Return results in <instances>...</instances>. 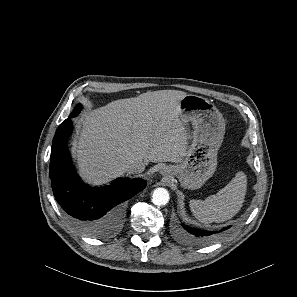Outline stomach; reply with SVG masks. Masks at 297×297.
Returning <instances> with one entry per match:
<instances>
[{
  "label": "stomach",
  "mask_w": 297,
  "mask_h": 297,
  "mask_svg": "<svg viewBox=\"0 0 297 297\" xmlns=\"http://www.w3.org/2000/svg\"><path fill=\"white\" fill-rule=\"evenodd\" d=\"M179 118L183 124H192V141L183 160L168 166V174L176 176L184 188L198 189L217 168V153L223 142L225 121L213 103L193 94L180 100Z\"/></svg>",
  "instance_id": "stomach-1"
}]
</instances>
